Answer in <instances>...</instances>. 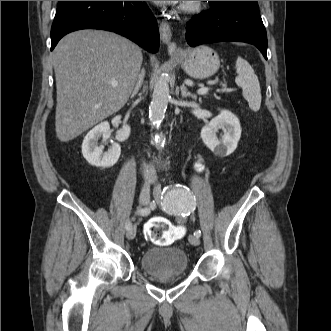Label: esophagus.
I'll return each mask as SVG.
<instances>
[{"label": "esophagus", "instance_id": "obj_1", "mask_svg": "<svg viewBox=\"0 0 331 331\" xmlns=\"http://www.w3.org/2000/svg\"><path fill=\"white\" fill-rule=\"evenodd\" d=\"M160 37L164 44L168 47L170 54L177 50L176 44L172 41V31L167 22L162 21L159 25Z\"/></svg>", "mask_w": 331, "mask_h": 331}]
</instances>
